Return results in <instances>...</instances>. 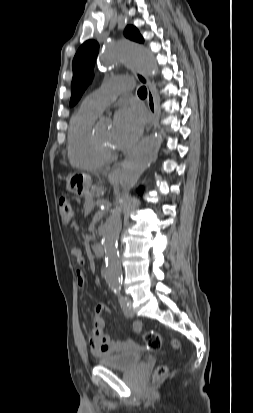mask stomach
<instances>
[{
  "label": "stomach",
  "mask_w": 253,
  "mask_h": 413,
  "mask_svg": "<svg viewBox=\"0 0 253 413\" xmlns=\"http://www.w3.org/2000/svg\"><path fill=\"white\" fill-rule=\"evenodd\" d=\"M91 177L85 173H73L66 178V190L78 197L90 193Z\"/></svg>",
  "instance_id": "1"
}]
</instances>
